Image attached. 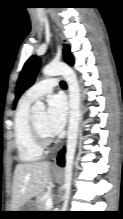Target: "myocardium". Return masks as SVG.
<instances>
[{
  "instance_id": "f54148a6",
  "label": "myocardium",
  "mask_w": 123,
  "mask_h": 219,
  "mask_svg": "<svg viewBox=\"0 0 123 219\" xmlns=\"http://www.w3.org/2000/svg\"><path fill=\"white\" fill-rule=\"evenodd\" d=\"M31 127L37 144L42 148H46L54 141L53 135L44 134L37 126L34 117H31Z\"/></svg>"
}]
</instances>
